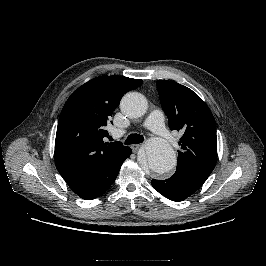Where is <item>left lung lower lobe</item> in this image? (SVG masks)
<instances>
[{"mask_svg": "<svg viewBox=\"0 0 266 266\" xmlns=\"http://www.w3.org/2000/svg\"><path fill=\"white\" fill-rule=\"evenodd\" d=\"M152 186L160 194L173 201H182L196 192L204 182L191 176L176 171L172 177L166 180L151 181Z\"/></svg>", "mask_w": 266, "mask_h": 266, "instance_id": "1", "label": "left lung lower lobe"}]
</instances>
